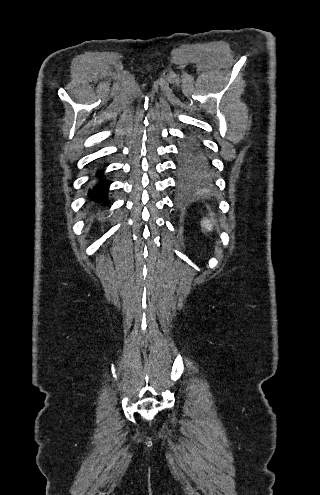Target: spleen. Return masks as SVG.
Returning a JSON list of instances; mask_svg holds the SVG:
<instances>
[{
  "label": "spleen",
  "mask_w": 320,
  "mask_h": 495,
  "mask_svg": "<svg viewBox=\"0 0 320 495\" xmlns=\"http://www.w3.org/2000/svg\"><path fill=\"white\" fill-rule=\"evenodd\" d=\"M201 227H202V231L205 233V232H210L212 231L213 229V222H211V220L209 219H202L201 221Z\"/></svg>",
  "instance_id": "obj_1"
}]
</instances>
